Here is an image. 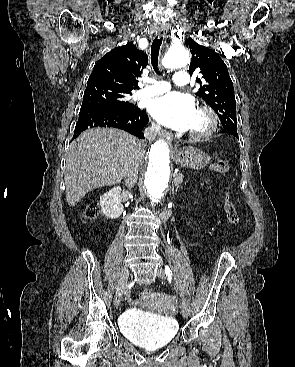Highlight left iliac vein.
<instances>
[{
	"instance_id": "4c4485c4",
	"label": "left iliac vein",
	"mask_w": 295,
	"mask_h": 367,
	"mask_svg": "<svg viewBox=\"0 0 295 367\" xmlns=\"http://www.w3.org/2000/svg\"><path fill=\"white\" fill-rule=\"evenodd\" d=\"M157 276L161 279H165L166 278V274H165V271L163 270L162 267H159L158 270H157ZM181 312H182V315L184 317H187L188 316V307L186 305V303L184 301H182L181 303Z\"/></svg>"
}]
</instances>
